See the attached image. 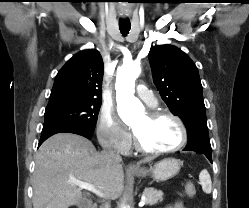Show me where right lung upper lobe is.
<instances>
[{
  "label": "right lung upper lobe",
  "mask_w": 249,
  "mask_h": 208,
  "mask_svg": "<svg viewBox=\"0 0 249 208\" xmlns=\"http://www.w3.org/2000/svg\"><path fill=\"white\" fill-rule=\"evenodd\" d=\"M103 68V60L97 50H83L74 55L58 72L47 107L101 100Z\"/></svg>",
  "instance_id": "cb5924a9"
}]
</instances>
